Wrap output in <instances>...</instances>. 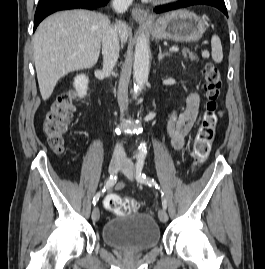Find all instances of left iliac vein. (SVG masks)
Instances as JSON below:
<instances>
[{"instance_id":"4c4485c4","label":"left iliac vein","mask_w":265,"mask_h":269,"mask_svg":"<svg viewBox=\"0 0 265 269\" xmlns=\"http://www.w3.org/2000/svg\"><path fill=\"white\" fill-rule=\"evenodd\" d=\"M121 171L123 172V174L130 180H133L134 178V164L128 160V159H125L123 161V165L121 167ZM158 216H159V219L161 222L165 223L168 221V215H167V212L165 211V209H161L159 210L158 212Z\"/></svg>"}]
</instances>
